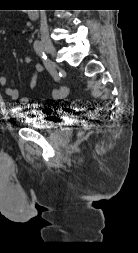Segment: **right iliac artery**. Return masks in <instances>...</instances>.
<instances>
[{
  "label": "right iliac artery",
  "instance_id": "1",
  "mask_svg": "<svg viewBox=\"0 0 138 253\" xmlns=\"http://www.w3.org/2000/svg\"><path fill=\"white\" fill-rule=\"evenodd\" d=\"M34 49L36 51V53L40 56V58L43 60L44 65L46 66V68L50 71V73L52 74L53 78L55 81L59 80V74L57 73V71H55L53 69V66L51 65V63L49 62V60L47 59V55L45 53L43 44L41 41L36 40L34 42Z\"/></svg>",
  "mask_w": 138,
  "mask_h": 253
}]
</instances>
